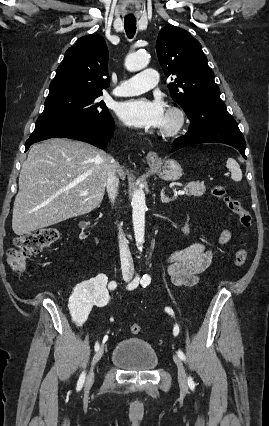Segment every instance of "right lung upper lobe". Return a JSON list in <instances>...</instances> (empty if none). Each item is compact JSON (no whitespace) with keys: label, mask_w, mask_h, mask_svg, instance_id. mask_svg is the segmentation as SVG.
Listing matches in <instances>:
<instances>
[{"label":"right lung upper lobe","mask_w":269,"mask_h":426,"mask_svg":"<svg viewBox=\"0 0 269 426\" xmlns=\"http://www.w3.org/2000/svg\"><path fill=\"white\" fill-rule=\"evenodd\" d=\"M107 66L108 49L104 38L98 34L83 36L65 52L50 84V92H102L110 84L109 78H106Z\"/></svg>","instance_id":"1"}]
</instances>
